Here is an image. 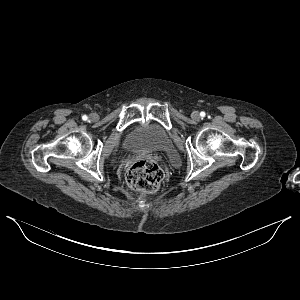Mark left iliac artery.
Segmentation results:
<instances>
[{
  "instance_id": "44dca946",
  "label": "left iliac artery",
  "mask_w": 300,
  "mask_h": 300,
  "mask_svg": "<svg viewBox=\"0 0 300 300\" xmlns=\"http://www.w3.org/2000/svg\"><path fill=\"white\" fill-rule=\"evenodd\" d=\"M200 115H201L202 117H204V116H205V112H201Z\"/></svg>"
}]
</instances>
